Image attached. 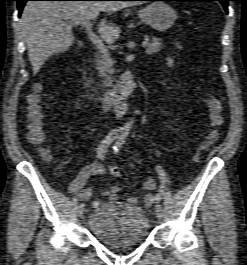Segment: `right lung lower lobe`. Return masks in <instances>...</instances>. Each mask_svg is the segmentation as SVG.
<instances>
[{
    "label": "right lung lower lobe",
    "mask_w": 247,
    "mask_h": 265,
    "mask_svg": "<svg viewBox=\"0 0 247 265\" xmlns=\"http://www.w3.org/2000/svg\"><path fill=\"white\" fill-rule=\"evenodd\" d=\"M18 2L19 16L22 13V9L27 1H131V0H16Z\"/></svg>",
    "instance_id": "obj_1"
}]
</instances>
